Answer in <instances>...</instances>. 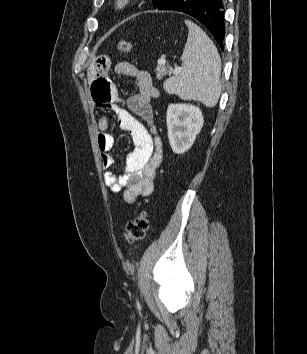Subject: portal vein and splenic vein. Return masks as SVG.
<instances>
[{"label": "portal vein and splenic vein", "mask_w": 307, "mask_h": 354, "mask_svg": "<svg viewBox=\"0 0 307 354\" xmlns=\"http://www.w3.org/2000/svg\"><path fill=\"white\" fill-rule=\"evenodd\" d=\"M158 63H159V64H165L166 61H165L164 59H159V60H158ZM177 72H178V70H174V71H173V73H177Z\"/></svg>", "instance_id": "1"}]
</instances>
